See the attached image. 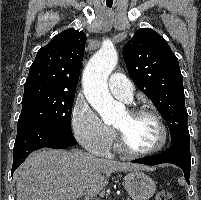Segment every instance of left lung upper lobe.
Masks as SVG:
<instances>
[{"label": "left lung upper lobe", "mask_w": 201, "mask_h": 200, "mask_svg": "<svg viewBox=\"0 0 201 200\" xmlns=\"http://www.w3.org/2000/svg\"><path fill=\"white\" fill-rule=\"evenodd\" d=\"M128 73L168 124L171 143L190 138L179 62L167 41L150 28L136 31L123 48Z\"/></svg>", "instance_id": "1"}]
</instances>
